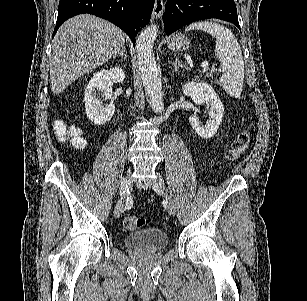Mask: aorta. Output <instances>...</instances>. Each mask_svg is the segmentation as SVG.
<instances>
[{
	"label": "aorta",
	"instance_id": "obj_1",
	"mask_svg": "<svg viewBox=\"0 0 307 301\" xmlns=\"http://www.w3.org/2000/svg\"><path fill=\"white\" fill-rule=\"evenodd\" d=\"M157 24L146 26L136 38L138 66L150 106L157 114H164L161 76L156 64L153 46L158 36Z\"/></svg>",
	"mask_w": 307,
	"mask_h": 301
}]
</instances>
